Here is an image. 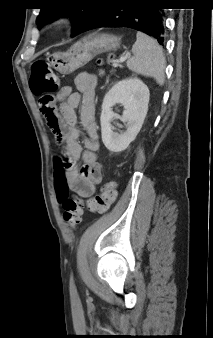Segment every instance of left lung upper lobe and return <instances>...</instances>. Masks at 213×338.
<instances>
[{
	"mask_svg": "<svg viewBox=\"0 0 213 338\" xmlns=\"http://www.w3.org/2000/svg\"><path fill=\"white\" fill-rule=\"evenodd\" d=\"M104 0H43L36 23L39 26L59 16L68 15L74 21L72 36L81 33L88 21L99 10Z\"/></svg>",
	"mask_w": 213,
	"mask_h": 338,
	"instance_id": "1",
	"label": "left lung upper lobe"
}]
</instances>
